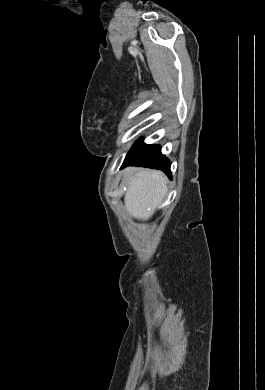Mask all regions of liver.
Returning a JSON list of instances; mask_svg holds the SVG:
<instances>
[{"instance_id":"1","label":"liver","mask_w":265,"mask_h":390,"mask_svg":"<svg viewBox=\"0 0 265 390\" xmlns=\"http://www.w3.org/2000/svg\"><path fill=\"white\" fill-rule=\"evenodd\" d=\"M125 209L132 217L148 220L167 193V178L158 170L127 168Z\"/></svg>"}]
</instances>
